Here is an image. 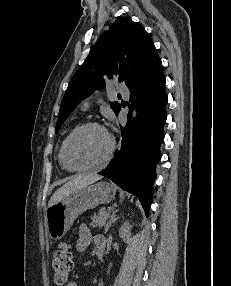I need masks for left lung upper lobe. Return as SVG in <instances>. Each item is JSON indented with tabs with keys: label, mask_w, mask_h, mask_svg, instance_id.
Wrapping results in <instances>:
<instances>
[{
	"label": "left lung upper lobe",
	"mask_w": 231,
	"mask_h": 286,
	"mask_svg": "<svg viewBox=\"0 0 231 286\" xmlns=\"http://www.w3.org/2000/svg\"><path fill=\"white\" fill-rule=\"evenodd\" d=\"M159 58L149 34L129 16L119 18L96 42L84 64L72 77L61 103L55 132L61 128L79 102L105 82L118 77L127 86ZM117 114L120 104L112 102Z\"/></svg>",
	"instance_id": "5c2ea615"
}]
</instances>
